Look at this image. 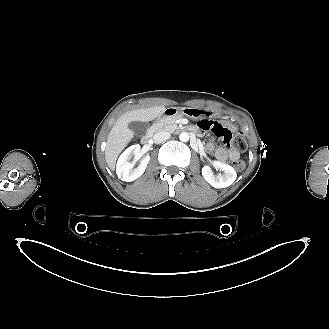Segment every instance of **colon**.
<instances>
[{
	"label": "colon",
	"mask_w": 329,
	"mask_h": 329,
	"mask_svg": "<svg viewBox=\"0 0 329 329\" xmlns=\"http://www.w3.org/2000/svg\"><path fill=\"white\" fill-rule=\"evenodd\" d=\"M232 144L235 148L239 150H245L247 147V142L244 136L242 135H236L234 136L232 140ZM233 166L236 170L241 171L244 169L245 164L242 160H234L233 161Z\"/></svg>",
	"instance_id": "obj_1"
}]
</instances>
